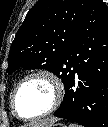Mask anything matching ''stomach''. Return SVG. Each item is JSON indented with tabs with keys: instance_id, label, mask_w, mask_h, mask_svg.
<instances>
[{
	"instance_id": "stomach-1",
	"label": "stomach",
	"mask_w": 108,
	"mask_h": 127,
	"mask_svg": "<svg viewBox=\"0 0 108 127\" xmlns=\"http://www.w3.org/2000/svg\"><path fill=\"white\" fill-rule=\"evenodd\" d=\"M37 127H68L66 124L61 123V122H54L48 126H37Z\"/></svg>"
}]
</instances>
